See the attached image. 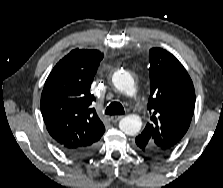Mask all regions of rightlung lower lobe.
Returning <instances> with one entry per match:
<instances>
[{"label":"right lung lower lobe","mask_w":223,"mask_h":188,"mask_svg":"<svg viewBox=\"0 0 223 188\" xmlns=\"http://www.w3.org/2000/svg\"><path fill=\"white\" fill-rule=\"evenodd\" d=\"M97 145L98 143L86 148H64L62 146H60V148L69 156L75 158H85L96 150Z\"/></svg>","instance_id":"1"}]
</instances>
